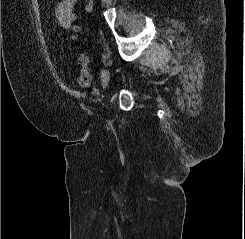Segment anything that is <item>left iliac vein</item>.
I'll return each mask as SVG.
<instances>
[{"mask_svg":"<svg viewBox=\"0 0 245 239\" xmlns=\"http://www.w3.org/2000/svg\"><path fill=\"white\" fill-rule=\"evenodd\" d=\"M109 78H110V72H109V70H105L104 78L102 80L103 88H106V86H107V84L109 82Z\"/></svg>","mask_w":245,"mask_h":239,"instance_id":"1","label":"left iliac vein"}]
</instances>
